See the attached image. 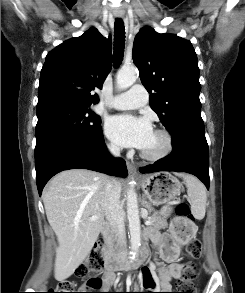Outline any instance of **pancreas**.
I'll return each mask as SVG.
<instances>
[{"label": "pancreas", "instance_id": "1", "mask_svg": "<svg viewBox=\"0 0 245 293\" xmlns=\"http://www.w3.org/2000/svg\"><path fill=\"white\" fill-rule=\"evenodd\" d=\"M150 212H153L149 217V220L151 221L150 228H154L156 230L167 228L168 223L166 217L162 216L160 212L154 211L153 209H150ZM107 243L109 248L113 250L114 244L112 237H108Z\"/></svg>", "mask_w": 245, "mask_h": 293}]
</instances>
